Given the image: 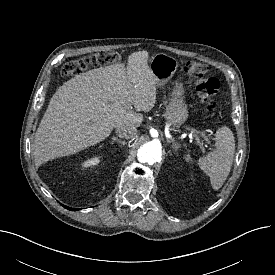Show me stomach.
Returning a JSON list of instances; mask_svg holds the SVG:
<instances>
[{
  "label": "stomach",
  "mask_w": 275,
  "mask_h": 275,
  "mask_svg": "<svg viewBox=\"0 0 275 275\" xmlns=\"http://www.w3.org/2000/svg\"><path fill=\"white\" fill-rule=\"evenodd\" d=\"M149 67L156 79V85L163 87L176 72L178 62L167 54L157 53L150 59ZM183 94L184 88L182 83L176 81L172 97L165 109V118L174 129L179 128L188 118V109L183 99Z\"/></svg>",
  "instance_id": "0dacf381"
}]
</instances>
